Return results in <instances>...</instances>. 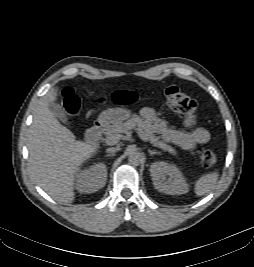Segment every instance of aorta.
I'll return each instance as SVG.
<instances>
[{
  "label": "aorta",
  "mask_w": 254,
  "mask_h": 267,
  "mask_svg": "<svg viewBox=\"0 0 254 267\" xmlns=\"http://www.w3.org/2000/svg\"><path fill=\"white\" fill-rule=\"evenodd\" d=\"M128 161L133 166H138L143 161L142 153H140L135 147H130L128 150Z\"/></svg>",
  "instance_id": "aorta-1"
}]
</instances>
